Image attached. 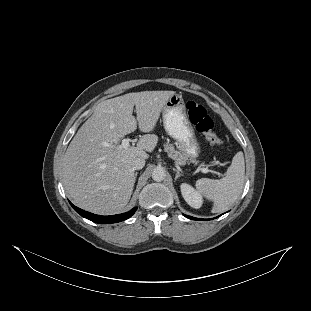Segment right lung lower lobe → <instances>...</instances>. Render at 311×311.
Segmentation results:
<instances>
[{
	"mask_svg": "<svg viewBox=\"0 0 311 311\" xmlns=\"http://www.w3.org/2000/svg\"><path fill=\"white\" fill-rule=\"evenodd\" d=\"M70 204L74 208V210L77 213H79L81 216L91 220L92 222L100 223V224L116 223V222L126 220L129 217H131L135 213V211L137 210V208L135 207L126 213H122V214H118V215H112V216H101V215H96V214L84 211V210L74 206L72 203H70Z\"/></svg>",
	"mask_w": 311,
	"mask_h": 311,
	"instance_id": "right-lung-lower-lobe-1",
	"label": "right lung lower lobe"
}]
</instances>
